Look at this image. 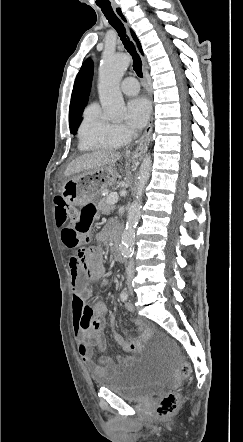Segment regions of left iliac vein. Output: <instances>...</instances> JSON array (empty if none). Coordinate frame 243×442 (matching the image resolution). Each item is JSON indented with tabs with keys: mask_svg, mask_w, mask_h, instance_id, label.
<instances>
[{
	"mask_svg": "<svg viewBox=\"0 0 243 442\" xmlns=\"http://www.w3.org/2000/svg\"><path fill=\"white\" fill-rule=\"evenodd\" d=\"M130 294H133V292H132V288L130 289Z\"/></svg>",
	"mask_w": 243,
	"mask_h": 442,
	"instance_id": "1",
	"label": "left iliac vein"
}]
</instances>
